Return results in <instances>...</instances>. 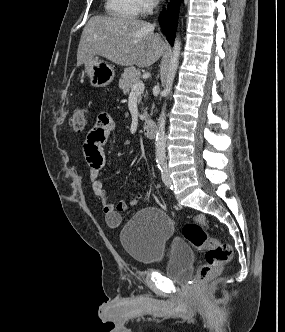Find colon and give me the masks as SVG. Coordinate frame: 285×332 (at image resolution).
Instances as JSON below:
<instances>
[{
  "label": "colon",
  "mask_w": 285,
  "mask_h": 332,
  "mask_svg": "<svg viewBox=\"0 0 285 332\" xmlns=\"http://www.w3.org/2000/svg\"><path fill=\"white\" fill-rule=\"evenodd\" d=\"M88 121L84 108H76L70 118V124L77 133H82ZM208 220L203 215L196 216L183 225L182 233L185 239L197 250L205 252V262L197 273V280L203 281L218 273L232 258V248L207 234Z\"/></svg>",
  "instance_id": "1"
}]
</instances>
